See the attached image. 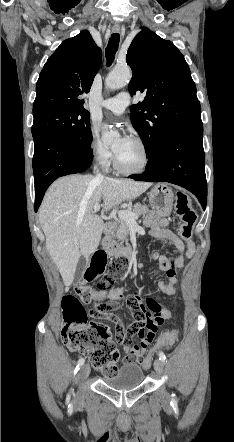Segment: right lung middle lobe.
<instances>
[{
	"label": "right lung middle lobe",
	"instance_id": "right-lung-middle-lobe-1",
	"mask_svg": "<svg viewBox=\"0 0 234 442\" xmlns=\"http://www.w3.org/2000/svg\"><path fill=\"white\" fill-rule=\"evenodd\" d=\"M57 135L90 150L92 133L86 109H58L34 116L32 136Z\"/></svg>",
	"mask_w": 234,
	"mask_h": 442
}]
</instances>
